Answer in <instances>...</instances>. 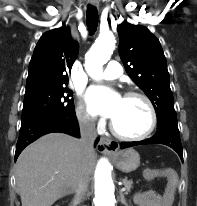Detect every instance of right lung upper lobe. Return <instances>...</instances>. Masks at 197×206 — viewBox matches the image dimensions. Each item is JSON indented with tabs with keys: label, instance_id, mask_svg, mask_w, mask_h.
Segmentation results:
<instances>
[{
	"label": "right lung upper lobe",
	"instance_id": "1",
	"mask_svg": "<svg viewBox=\"0 0 197 206\" xmlns=\"http://www.w3.org/2000/svg\"><path fill=\"white\" fill-rule=\"evenodd\" d=\"M78 45L70 30L61 27L44 33L29 64L26 89L68 83V71L77 57Z\"/></svg>",
	"mask_w": 197,
	"mask_h": 206
}]
</instances>
